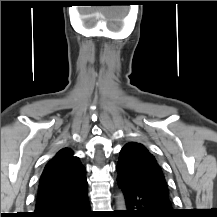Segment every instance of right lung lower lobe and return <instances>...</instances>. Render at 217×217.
Instances as JSON below:
<instances>
[{
  "instance_id": "right-lung-lower-lobe-1",
  "label": "right lung lower lobe",
  "mask_w": 217,
  "mask_h": 217,
  "mask_svg": "<svg viewBox=\"0 0 217 217\" xmlns=\"http://www.w3.org/2000/svg\"><path fill=\"white\" fill-rule=\"evenodd\" d=\"M30 217H92L87 191L35 209Z\"/></svg>"
}]
</instances>
